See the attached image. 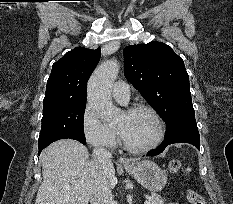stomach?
<instances>
[{
    "instance_id": "obj_1",
    "label": "stomach",
    "mask_w": 233,
    "mask_h": 204,
    "mask_svg": "<svg viewBox=\"0 0 233 204\" xmlns=\"http://www.w3.org/2000/svg\"><path fill=\"white\" fill-rule=\"evenodd\" d=\"M142 186L151 192H157L164 188L167 182L166 172L156 163L150 160L134 162L124 167Z\"/></svg>"
}]
</instances>
